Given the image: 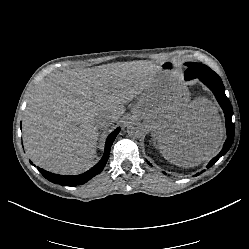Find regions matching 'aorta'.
<instances>
[{"label": "aorta", "mask_w": 249, "mask_h": 249, "mask_svg": "<svg viewBox=\"0 0 249 249\" xmlns=\"http://www.w3.org/2000/svg\"><path fill=\"white\" fill-rule=\"evenodd\" d=\"M127 133L130 137L139 138L144 135L145 129L141 123L132 121L127 125Z\"/></svg>", "instance_id": "1"}]
</instances>
